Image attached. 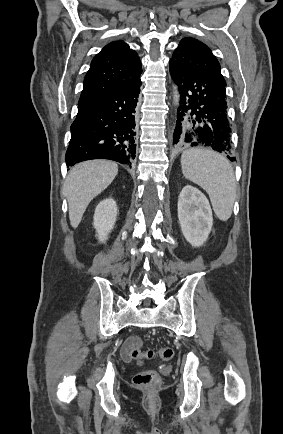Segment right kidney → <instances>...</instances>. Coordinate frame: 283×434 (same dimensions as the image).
<instances>
[{
    "label": "right kidney",
    "mask_w": 283,
    "mask_h": 434,
    "mask_svg": "<svg viewBox=\"0 0 283 434\" xmlns=\"http://www.w3.org/2000/svg\"><path fill=\"white\" fill-rule=\"evenodd\" d=\"M117 211L116 202L112 198L104 199L97 205L94 213V228L100 242H105L114 228Z\"/></svg>",
    "instance_id": "ca27d5eb"
}]
</instances>
